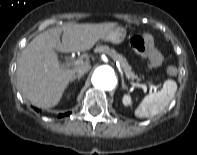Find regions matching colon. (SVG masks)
<instances>
[{
  "label": "colon",
  "instance_id": "colon-1",
  "mask_svg": "<svg viewBox=\"0 0 197 155\" xmlns=\"http://www.w3.org/2000/svg\"><path fill=\"white\" fill-rule=\"evenodd\" d=\"M131 46L140 53L147 54L151 60V62L155 65H158L161 62V55L156 50L152 41L147 40V38H142L140 36H134L131 39ZM170 74L175 73L174 68H170L168 70Z\"/></svg>",
  "mask_w": 197,
  "mask_h": 155
}]
</instances>
